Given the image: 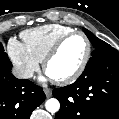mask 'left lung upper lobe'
I'll list each match as a JSON object with an SVG mask.
<instances>
[{
	"label": "left lung upper lobe",
	"instance_id": "obj_1",
	"mask_svg": "<svg viewBox=\"0 0 119 119\" xmlns=\"http://www.w3.org/2000/svg\"><path fill=\"white\" fill-rule=\"evenodd\" d=\"M83 31L94 47V51L92 52V56L88 63L93 62L94 60L98 59L99 57L103 56L105 53L113 49L109 44L97 38L89 30L83 28Z\"/></svg>",
	"mask_w": 119,
	"mask_h": 119
}]
</instances>
